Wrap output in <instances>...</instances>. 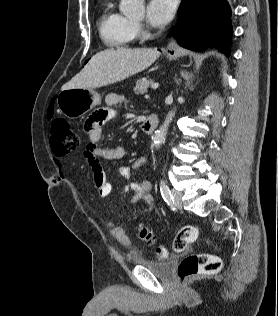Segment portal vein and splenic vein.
<instances>
[{
  "instance_id": "portal-vein-and-splenic-vein-1",
  "label": "portal vein and splenic vein",
  "mask_w": 278,
  "mask_h": 316,
  "mask_svg": "<svg viewBox=\"0 0 278 316\" xmlns=\"http://www.w3.org/2000/svg\"><path fill=\"white\" fill-rule=\"evenodd\" d=\"M151 87H152V89H157L159 87V84L158 83H153Z\"/></svg>"
}]
</instances>
